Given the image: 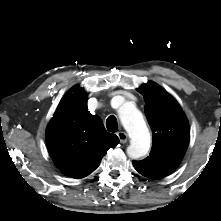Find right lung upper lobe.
<instances>
[{
  "label": "right lung upper lobe",
  "instance_id": "obj_1",
  "mask_svg": "<svg viewBox=\"0 0 221 221\" xmlns=\"http://www.w3.org/2000/svg\"><path fill=\"white\" fill-rule=\"evenodd\" d=\"M46 142L55 164L66 175L79 179L94 171L119 139L105 130L98 116L90 114L87 94L75 86L60 101L47 127Z\"/></svg>",
  "mask_w": 221,
  "mask_h": 221
}]
</instances>
